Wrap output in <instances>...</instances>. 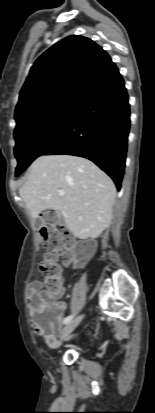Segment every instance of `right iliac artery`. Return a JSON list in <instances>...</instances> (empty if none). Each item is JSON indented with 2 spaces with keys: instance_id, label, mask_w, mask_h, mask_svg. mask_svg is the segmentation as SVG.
Segmentation results:
<instances>
[{
  "instance_id": "1",
  "label": "right iliac artery",
  "mask_w": 155,
  "mask_h": 413,
  "mask_svg": "<svg viewBox=\"0 0 155 413\" xmlns=\"http://www.w3.org/2000/svg\"><path fill=\"white\" fill-rule=\"evenodd\" d=\"M73 317H74V315L67 316V317L64 319V324L69 323V322L72 320Z\"/></svg>"
}]
</instances>
